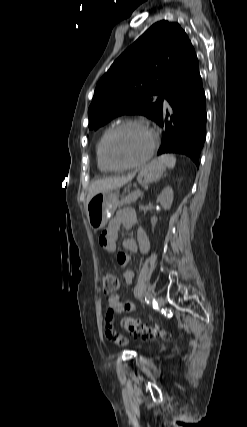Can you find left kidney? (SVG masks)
<instances>
[{"instance_id": "1", "label": "left kidney", "mask_w": 247, "mask_h": 427, "mask_svg": "<svg viewBox=\"0 0 247 427\" xmlns=\"http://www.w3.org/2000/svg\"><path fill=\"white\" fill-rule=\"evenodd\" d=\"M174 198L173 189L170 186H166L162 192L158 195L157 201L165 210H170Z\"/></svg>"}]
</instances>
